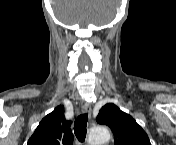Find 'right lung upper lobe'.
Segmentation results:
<instances>
[{
    "label": "right lung upper lobe",
    "mask_w": 176,
    "mask_h": 145,
    "mask_svg": "<svg viewBox=\"0 0 176 145\" xmlns=\"http://www.w3.org/2000/svg\"><path fill=\"white\" fill-rule=\"evenodd\" d=\"M70 125L64 107L59 105L41 120L27 145H71L74 137Z\"/></svg>",
    "instance_id": "obj_1"
}]
</instances>
